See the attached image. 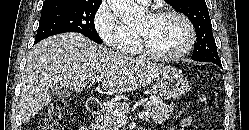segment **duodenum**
Segmentation results:
<instances>
[{
  "label": "duodenum",
  "instance_id": "410a0bca",
  "mask_svg": "<svg viewBox=\"0 0 249 130\" xmlns=\"http://www.w3.org/2000/svg\"><path fill=\"white\" fill-rule=\"evenodd\" d=\"M86 110L88 114L91 116L99 115L103 110L101 101L97 97L89 98L86 102ZM79 130H95V124L85 123L84 125L80 127Z\"/></svg>",
  "mask_w": 249,
  "mask_h": 130
}]
</instances>
